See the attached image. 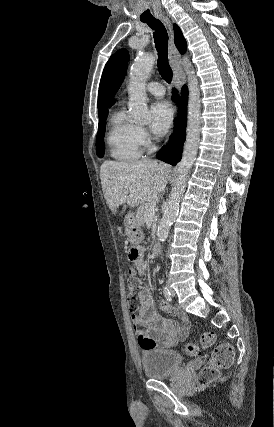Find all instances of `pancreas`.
Segmentation results:
<instances>
[{
	"mask_svg": "<svg viewBox=\"0 0 274 427\" xmlns=\"http://www.w3.org/2000/svg\"><path fill=\"white\" fill-rule=\"evenodd\" d=\"M154 202H147V204H142V206H140L138 212H137V223H139V225H145V212L146 210H148V208H150V206H153Z\"/></svg>",
	"mask_w": 274,
	"mask_h": 427,
	"instance_id": "cf45deb5",
	"label": "pancreas"
}]
</instances>
